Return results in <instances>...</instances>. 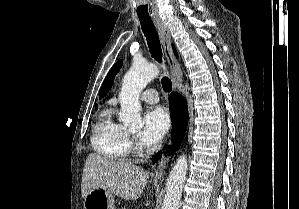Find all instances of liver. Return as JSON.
Returning <instances> with one entry per match:
<instances>
[{
    "mask_svg": "<svg viewBox=\"0 0 299 209\" xmlns=\"http://www.w3.org/2000/svg\"><path fill=\"white\" fill-rule=\"evenodd\" d=\"M149 173L140 166L90 154L82 177V197L98 188L127 199H137L147 184Z\"/></svg>",
    "mask_w": 299,
    "mask_h": 209,
    "instance_id": "1",
    "label": "liver"
}]
</instances>
